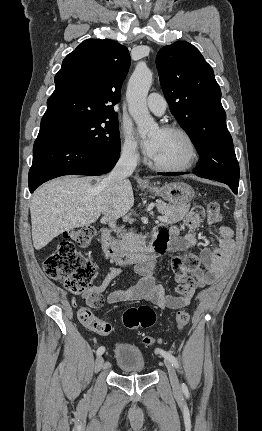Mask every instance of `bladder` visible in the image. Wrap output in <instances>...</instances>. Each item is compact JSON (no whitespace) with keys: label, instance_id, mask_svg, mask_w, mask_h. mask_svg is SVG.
<instances>
[{"label":"bladder","instance_id":"31cf9c89","mask_svg":"<svg viewBox=\"0 0 262 431\" xmlns=\"http://www.w3.org/2000/svg\"><path fill=\"white\" fill-rule=\"evenodd\" d=\"M116 362L119 368L125 372H143L145 358L142 351L131 344H118L115 347Z\"/></svg>","mask_w":262,"mask_h":431}]
</instances>
